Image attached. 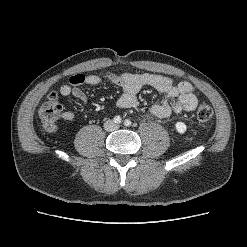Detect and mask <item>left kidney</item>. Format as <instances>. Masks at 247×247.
<instances>
[{
    "mask_svg": "<svg viewBox=\"0 0 247 247\" xmlns=\"http://www.w3.org/2000/svg\"><path fill=\"white\" fill-rule=\"evenodd\" d=\"M175 128H176V131H177L178 133H180V134H184V133L186 132V130H187V126H186V124L183 123V122H177V123L175 124Z\"/></svg>",
    "mask_w": 247,
    "mask_h": 247,
    "instance_id": "left-kidney-1",
    "label": "left kidney"
}]
</instances>
